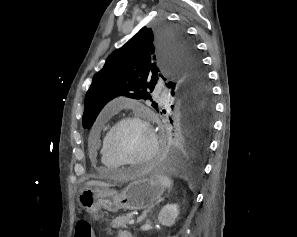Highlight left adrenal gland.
<instances>
[{"label":"left adrenal gland","instance_id":"a2214340","mask_svg":"<svg viewBox=\"0 0 297 237\" xmlns=\"http://www.w3.org/2000/svg\"><path fill=\"white\" fill-rule=\"evenodd\" d=\"M164 199L159 200L156 204H159V202L163 201ZM153 208L150 207L147 210L143 211L142 215L138 218L137 223H141L146 217H147V213Z\"/></svg>","mask_w":297,"mask_h":237}]
</instances>
